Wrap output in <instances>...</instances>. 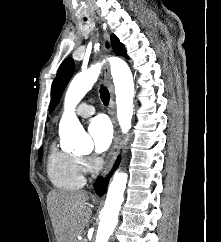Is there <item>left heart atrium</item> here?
I'll list each match as a JSON object with an SVG mask.
<instances>
[{
	"mask_svg": "<svg viewBox=\"0 0 221 242\" xmlns=\"http://www.w3.org/2000/svg\"><path fill=\"white\" fill-rule=\"evenodd\" d=\"M88 132L97 153H102L109 148L113 138V129L105 116L93 118L89 123Z\"/></svg>",
	"mask_w": 221,
	"mask_h": 242,
	"instance_id": "left-heart-atrium-1",
	"label": "left heart atrium"
}]
</instances>
